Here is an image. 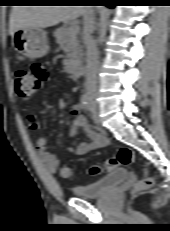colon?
Listing matches in <instances>:
<instances>
[{
	"label": "colon",
	"mask_w": 170,
	"mask_h": 231,
	"mask_svg": "<svg viewBox=\"0 0 170 231\" xmlns=\"http://www.w3.org/2000/svg\"><path fill=\"white\" fill-rule=\"evenodd\" d=\"M14 88L17 95L21 98L31 97L39 88L37 80L32 76L30 71L19 69L14 74ZM135 161V155L129 148H120L115 157L108 159L104 164V169L113 170L117 165H129ZM102 167L93 166L90 169L92 175H98L102 172ZM59 174L64 179L72 177V170L67 166H61ZM153 184L151 177L143 178L135 187V191L149 188Z\"/></svg>",
	"instance_id": "1"
}]
</instances>
